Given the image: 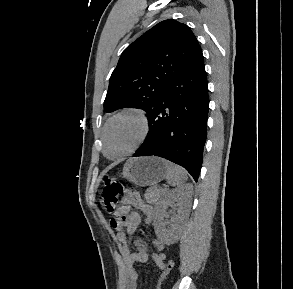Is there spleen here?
<instances>
[{"label":"spleen","instance_id":"obj_1","mask_svg":"<svg viewBox=\"0 0 293 289\" xmlns=\"http://www.w3.org/2000/svg\"><path fill=\"white\" fill-rule=\"evenodd\" d=\"M162 161L166 169V179L169 185L181 186L187 181V174L183 168L168 160L162 159Z\"/></svg>","mask_w":293,"mask_h":289}]
</instances>
